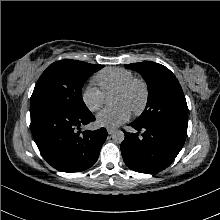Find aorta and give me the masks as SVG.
I'll return each instance as SVG.
<instances>
[{
    "instance_id": "762f6f07",
    "label": "aorta",
    "mask_w": 220,
    "mask_h": 220,
    "mask_svg": "<svg viewBox=\"0 0 220 220\" xmlns=\"http://www.w3.org/2000/svg\"><path fill=\"white\" fill-rule=\"evenodd\" d=\"M106 105H111V100L107 98L105 100ZM124 133L121 130H116L112 133V139L114 142L121 143L124 140Z\"/></svg>"
}]
</instances>
